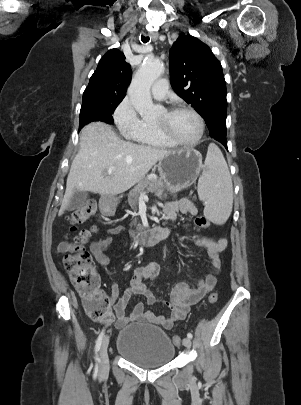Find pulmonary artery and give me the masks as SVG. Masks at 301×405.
I'll use <instances>...</instances> for the list:
<instances>
[{
  "label": "pulmonary artery",
  "mask_w": 301,
  "mask_h": 405,
  "mask_svg": "<svg viewBox=\"0 0 301 405\" xmlns=\"http://www.w3.org/2000/svg\"><path fill=\"white\" fill-rule=\"evenodd\" d=\"M151 93L155 99H165L168 94V81L166 79L157 80L151 87Z\"/></svg>",
  "instance_id": "e3ab8cb5"
}]
</instances>
